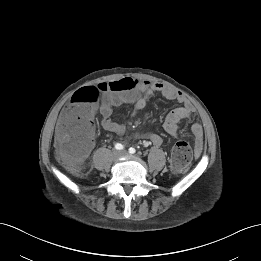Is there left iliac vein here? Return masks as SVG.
<instances>
[{"label": "left iliac vein", "instance_id": "obj_1", "mask_svg": "<svg viewBox=\"0 0 261 261\" xmlns=\"http://www.w3.org/2000/svg\"><path fill=\"white\" fill-rule=\"evenodd\" d=\"M121 155H127V152L126 151H122L120 152Z\"/></svg>", "mask_w": 261, "mask_h": 261}]
</instances>
